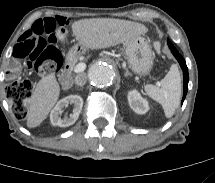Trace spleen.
I'll use <instances>...</instances> for the list:
<instances>
[{
  "label": "spleen",
  "instance_id": "obj_1",
  "mask_svg": "<svg viewBox=\"0 0 215 183\" xmlns=\"http://www.w3.org/2000/svg\"><path fill=\"white\" fill-rule=\"evenodd\" d=\"M147 95L160 103L166 117H171L180 104L181 76L176 64L171 65L169 72L156 85L144 87Z\"/></svg>",
  "mask_w": 215,
  "mask_h": 183
}]
</instances>
